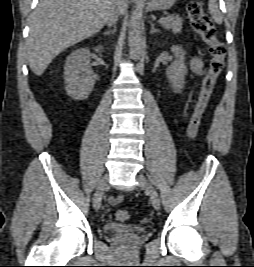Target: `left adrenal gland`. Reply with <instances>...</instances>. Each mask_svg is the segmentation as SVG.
I'll list each match as a JSON object with an SVG mask.
<instances>
[{"label":"left adrenal gland","mask_w":254,"mask_h":267,"mask_svg":"<svg viewBox=\"0 0 254 267\" xmlns=\"http://www.w3.org/2000/svg\"><path fill=\"white\" fill-rule=\"evenodd\" d=\"M149 23H150V27H151L150 34H153L154 32H160V30L155 27V25L152 21H150Z\"/></svg>","instance_id":"a2214340"}]
</instances>
